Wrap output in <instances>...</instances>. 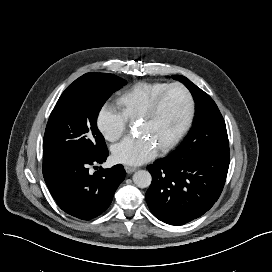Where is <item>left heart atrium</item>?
<instances>
[{
  "instance_id": "obj_1",
  "label": "left heart atrium",
  "mask_w": 272,
  "mask_h": 272,
  "mask_svg": "<svg viewBox=\"0 0 272 272\" xmlns=\"http://www.w3.org/2000/svg\"><path fill=\"white\" fill-rule=\"evenodd\" d=\"M147 137H127L113 148L114 159L127 165H141L151 160L157 153V146Z\"/></svg>"
}]
</instances>
